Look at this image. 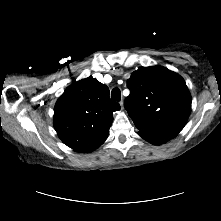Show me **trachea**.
I'll return each instance as SVG.
<instances>
[{
  "mask_svg": "<svg viewBox=\"0 0 221 221\" xmlns=\"http://www.w3.org/2000/svg\"><path fill=\"white\" fill-rule=\"evenodd\" d=\"M111 97L112 99L116 100V101H120L121 99V92L118 88H114L111 92Z\"/></svg>",
  "mask_w": 221,
  "mask_h": 221,
  "instance_id": "obj_1",
  "label": "trachea"
}]
</instances>
